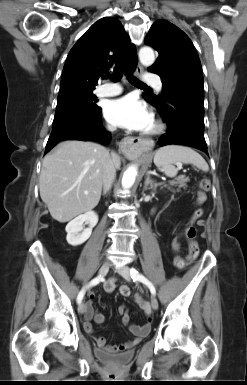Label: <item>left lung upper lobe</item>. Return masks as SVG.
<instances>
[{
	"label": "left lung upper lobe",
	"instance_id": "1",
	"mask_svg": "<svg viewBox=\"0 0 247 385\" xmlns=\"http://www.w3.org/2000/svg\"><path fill=\"white\" fill-rule=\"evenodd\" d=\"M145 43L159 53L149 71L161 77L163 93L160 96L144 93L143 98L157 109L165 106L167 98L172 95L203 104L201 63L188 36L174 24L161 19L151 26Z\"/></svg>",
	"mask_w": 247,
	"mask_h": 385
}]
</instances>
